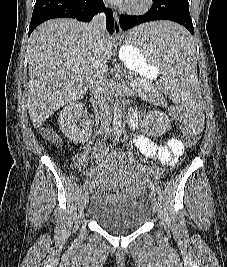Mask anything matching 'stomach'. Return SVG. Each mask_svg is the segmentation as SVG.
Returning a JSON list of instances; mask_svg holds the SVG:
<instances>
[{"instance_id": "1", "label": "stomach", "mask_w": 227, "mask_h": 267, "mask_svg": "<svg viewBox=\"0 0 227 267\" xmlns=\"http://www.w3.org/2000/svg\"><path fill=\"white\" fill-rule=\"evenodd\" d=\"M121 59L128 69L146 79L155 76L159 65V63H151V59H144L139 47H128L127 43H124L122 47Z\"/></svg>"}]
</instances>
